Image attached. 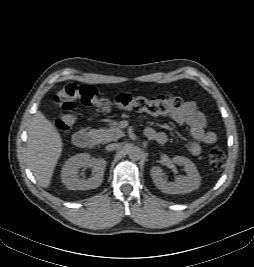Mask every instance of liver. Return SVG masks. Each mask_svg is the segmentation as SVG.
Masks as SVG:
<instances>
[{"instance_id": "liver-1", "label": "liver", "mask_w": 254, "mask_h": 267, "mask_svg": "<svg viewBox=\"0 0 254 267\" xmlns=\"http://www.w3.org/2000/svg\"><path fill=\"white\" fill-rule=\"evenodd\" d=\"M62 148L63 142L55 126L37 111L28 130L27 162L37 182L44 188L50 186Z\"/></svg>"}]
</instances>
